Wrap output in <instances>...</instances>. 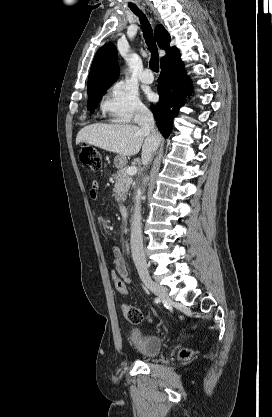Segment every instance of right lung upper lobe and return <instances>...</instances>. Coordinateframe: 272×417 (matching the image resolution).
Returning <instances> with one entry per match:
<instances>
[{
  "label": "right lung upper lobe",
  "mask_w": 272,
  "mask_h": 417,
  "mask_svg": "<svg viewBox=\"0 0 272 417\" xmlns=\"http://www.w3.org/2000/svg\"><path fill=\"white\" fill-rule=\"evenodd\" d=\"M155 38L159 47L166 51V56L176 49L169 46L170 35L162 25L156 27ZM166 56L162 57L161 61ZM118 71L116 47L113 44H105L94 57L88 78L87 92L109 88L118 79Z\"/></svg>",
  "instance_id": "cb5924a9"
}]
</instances>
